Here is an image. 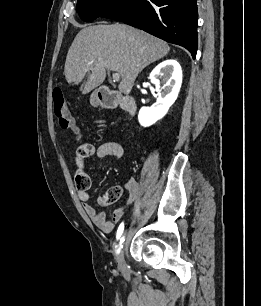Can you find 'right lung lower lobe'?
<instances>
[{"instance_id":"right-lung-lower-lobe-1","label":"right lung lower lobe","mask_w":261,"mask_h":306,"mask_svg":"<svg viewBox=\"0 0 261 306\" xmlns=\"http://www.w3.org/2000/svg\"><path fill=\"white\" fill-rule=\"evenodd\" d=\"M100 17L122 21L167 42L185 47L195 58L196 0H123Z\"/></svg>"}]
</instances>
